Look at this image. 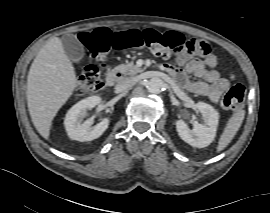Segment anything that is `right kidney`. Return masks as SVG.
I'll use <instances>...</instances> for the list:
<instances>
[{
    "label": "right kidney",
    "mask_w": 270,
    "mask_h": 213,
    "mask_svg": "<svg viewBox=\"0 0 270 213\" xmlns=\"http://www.w3.org/2000/svg\"><path fill=\"white\" fill-rule=\"evenodd\" d=\"M101 103L99 96H91L76 103L66 114L64 125L68 136L72 140L91 141L100 137L108 128L109 119L105 118L97 125L91 127L93 120L82 122L87 110H91Z\"/></svg>",
    "instance_id": "ca27d5eb"
}]
</instances>
